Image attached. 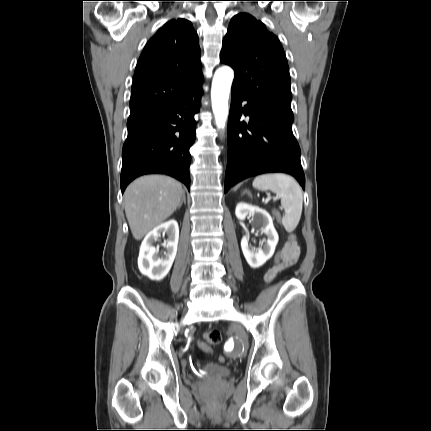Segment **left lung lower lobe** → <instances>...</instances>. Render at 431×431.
Returning <instances> with one entry per match:
<instances>
[{
  "mask_svg": "<svg viewBox=\"0 0 431 431\" xmlns=\"http://www.w3.org/2000/svg\"><path fill=\"white\" fill-rule=\"evenodd\" d=\"M231 92L225 193L247 177L270 172L291 174L305 189L300 147L292 132L293 115L251 100L234 86ZM242 101H247L244 108ZM242 114L250 116L248 124L239 121Z\"/></svg>",
  "mask_w": 431,
  "mask_h": 431,
  "instance_id": "1",
  "label": "left lung lower lobe"
}]
</instances>
